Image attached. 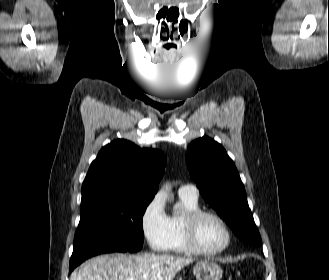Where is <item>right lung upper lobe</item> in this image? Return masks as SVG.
<instances>
[{
    "instance_id": "cb5924a9",
    "label": "right lung upper lobe",
    "mask_w": 329,
    "mask_h": 280,
    "mask_svg": "<svg viewBox=\"0 0 329 280\" xmlns=\"http://www.w3.org/2000/svg\"><path fill=\"white\" fill-rule=\"evenodd\" d=\"M165 155L117 139L104 146L82 185L81 206L121 196L154 197L164 174Z\"/></svg>"
}]
</instances>
